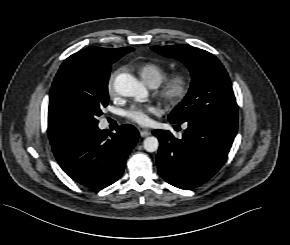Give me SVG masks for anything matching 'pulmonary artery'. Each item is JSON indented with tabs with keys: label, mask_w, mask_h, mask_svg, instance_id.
Returning a JSON list of instances; mask_svg holds the SVG:
<instances>
[{
	"label": "pulmonary artery",
	"mask_w": 290,
	"mask_h": 245,
	"mask_svg": "<svg viewBox=\"0 0 290 245\" xmlns=\"http://www.w3.org/2000/svg\"><path fill=\"white\" fill-rule=\"evenodd\" d=\"M150 86H152V87H156V86H157V84H152V85H150Z\"/></svg>",
	"instance_id": "e3ab8cb5"
}]
</instances>
